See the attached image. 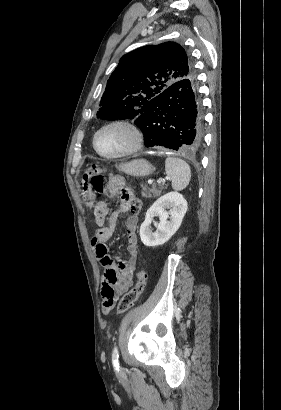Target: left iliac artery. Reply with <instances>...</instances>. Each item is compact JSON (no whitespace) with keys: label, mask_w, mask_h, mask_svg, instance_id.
<instances>
[{"label":"left iliac artery","mask_w":281,"mask_h":410,"mask_svg":"<svg viewBox=\"0 0 281 410\" xmlns=\"http://www.w3.org/2000/svg\"><path fill=\"white\" fill-rule=\"evenodd\" d=\"M118 358H119L118 348H117V346H115L114 349H113V352H112V363H113V366L116 369H119V360H118Z\"/></svg>","instance_id":"1"}]
</instances>
